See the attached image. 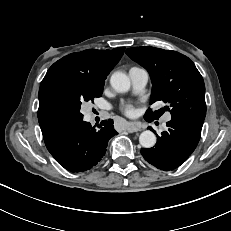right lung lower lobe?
<instances>
[{"instance_id":"right-lung-lower-lobe-1","label":"right lung lower lobe","mask_w":231,"mask_h":231,"mask_svg":"<svg viewBox=\"0 0 231 231\" xmlns=\"http://www.w3.org/2000/svg\"><path fill=\"white\" fill-rule=\"evenodd\" d=\"M98 126L79 120L67 124L47 138L45 145L54 159L71 172H83L95 166L105 155L108 141L117 133L113 120H105Z\"/></svg>"}]
</instances>
